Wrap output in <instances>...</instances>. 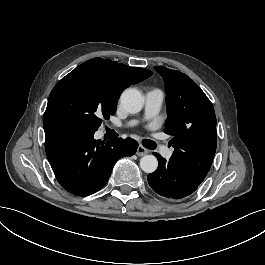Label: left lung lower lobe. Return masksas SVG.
I'll return each mask as SVG.
<instances>
[{"instance_id":"1","label":"left lung lower lobe","mask_w":265,"mask_h":265,"mask_svg":"<svg viewBox=\"0 0 265 265\" xmlns=\"http://www.w3.org/2000/svg\"><path fill=\"white\" fill-rule=\"evenodd\" d=\"M158 159V168L148 175L150 187L159 195L169 199H181L192 194L202 183L180 165L166 161L158 153H153Z\"/></svg>"}]
</instances>
